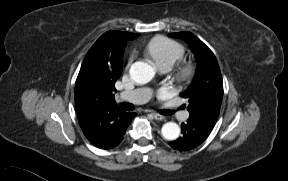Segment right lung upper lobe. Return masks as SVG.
I'll use <instances>...</instances> for the list:
<instances>
[{
  "instance_id": "right-lung-upper-lobe-1",
  "label": "right lung upper lobe",
  "mask_w": 288,
  "mask_h": 181,
  "mask_svg": "<svg viewBox=\"0 0 288 181\" xmlns=\"http://www.w3.org/2000/svg\"><path fill=\"white\" fill-rule=\"evenodd\" d=\"M139 34L108 31L88 51L75 83L79 124L86 138L101 149L115 147L126 112L114 100L126 43Z\"/></svg>"
}]
</instances>
